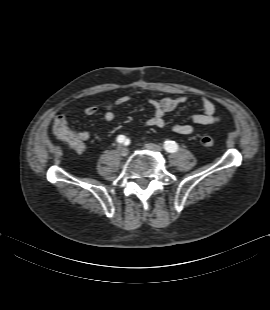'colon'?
<instances>
[{"instance_id":"5ec220e1","label":"colon","mask_w":270,"mask_h":310,"mask_svg":"<svg viewBox=\"0 0 270 310\" xmlns=\"http://www.w3.org/2000/svg\"><path fill=\"white\" fill-rule=\"evenodd\" d=\"M53 131L59 139L73 148L80 149L82 147L78 133L69 127L65 117L59 116L55 119ZM200 143L204 147H211L214 145V138L211 135L204 134L200 137Z\"/></svg>"}]
</instances>
